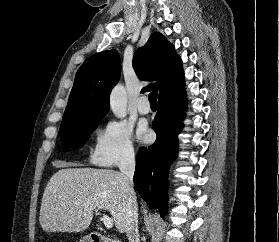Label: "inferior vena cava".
Instances as JSON below:
<instances>
[{"mask_svg": "<svg viewBox=\"0 0 279 242\" xmlns=\"http://www.w3.org/2000/svg\"><path fill=\"white\" fill-rule=\"evenodd\" d=\"M119 169L127 178L125 184V191L128 196L125 219L126 236L129 242H139L138 209L136 195L133 189V175L135 172V154L133 150L125 154L119 165Z\"/></svg>", "mask_w": 279, "mask_h": 242, "instance_id": "602c4592", "label": "inferior vena cava"}]
</instances>
